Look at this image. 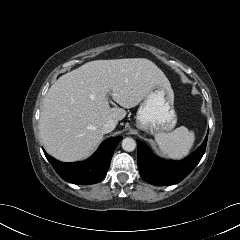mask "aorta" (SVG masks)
<instances>
[{"label":"aorta","mask_w":240,"mask_h":240,"mask_svg":"<svg viewBox=\"0 0 240 240\" xmlns=\"http://www.w3.org/2000/svg\"><path fill=\"white\" fill-rule=\"evenodd\" d=\"M122 148L126 152H132L136 148V141L133 138L126 137L122 140Z\"/></svg>","instance_id":"obj_1"}]
</instances>
